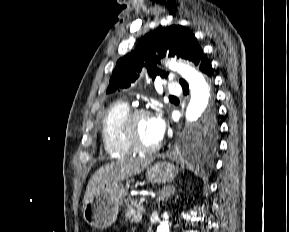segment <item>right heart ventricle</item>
Returning <instances> with one entry per match:
<instances>
[{
  "label": "right heart ventricle",
  "instance_id": "obj_1",
  "mask_svg": "<svg viewBox=\"0 0 289 232\" xmlns=\"http://www.w3.org/2000/svg\"><path fill=\"white\" fill-rule=\"evenodd\" d=\"M124 101H115L104 112L101 121V137L105 151L112 157L124 158L135 152L127 145L121 134V123L129 111Z\"/></svg>",
  "mask_w": 289,
  "mask_h": 232
}]
</instances>
